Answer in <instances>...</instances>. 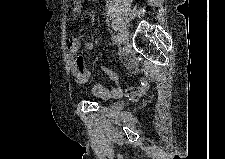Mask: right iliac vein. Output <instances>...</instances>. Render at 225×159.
<instances>
[{"label": "right iliac vein", "instance_id": "1", "mask_svg": "<svg viewBox=\"0 0 225 159\" xmlns=\"http://www.w3.org/2000/svg\"><path fill=\"white\" fill-rule=\"evenodd\" d=\"M119 36H120L121 42H123L124 44L128 43L129 35H128V31L125 28H122L120 30Z\"/></svg>", "mask_w": 225, "mask_h": 159}]
</instances>
